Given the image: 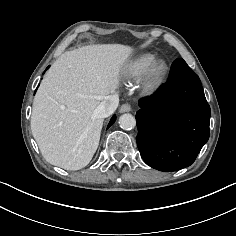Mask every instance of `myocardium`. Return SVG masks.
<instances>
[{
	"label": "myocardium",
	"mask_w": 236,
	"mask_h": 236,
	"mask_svg": "<svg viewBox=\"0 0 236 236\" xmlns=\"http://www.w3.org/2000/svg\"><path fill=\"white\" fill-rule=\"evenodd\" d=\"M168 75V64L164 60L155 61L140 79V92L148 97L156 95L165 85Z\"/></svg>",
	"instance_id": "obj_1"
}]
</instances>
